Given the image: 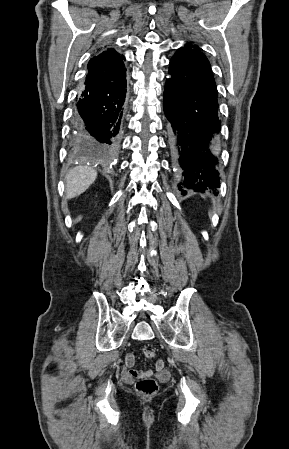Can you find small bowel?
<instances>
[{
    "label": "small bowel",
    "mask_w": 289,
    "mask_h": 449,
    "mask_svg": "<svg viewBox=\"0 0 289 449\" xmlns=\"http://www.w3.org/2000/svg\"><path fill=\"white\" fill-rule=\"evenodd\" d=\"M135 364V355L132 353H129L125 356V365L128 368L127 376L129 378H138L139 376L146 375L151 376L152 371L151 370H136L133 369V366ZM164 370V362L162 360H159L156 363V371L162 372Z\"/></svg>",
    "instance_id": "small-bowel-1"
}]
</instances>
